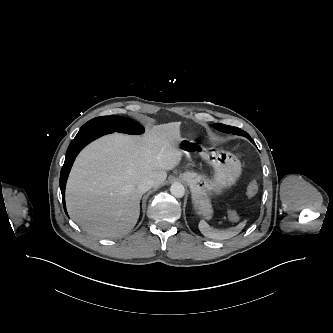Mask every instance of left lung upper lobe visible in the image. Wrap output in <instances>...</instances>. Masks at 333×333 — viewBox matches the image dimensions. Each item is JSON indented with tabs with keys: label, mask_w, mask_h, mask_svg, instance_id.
<instances>
[{
	"label": "left lung upper lobe",
	"mask_w": 333,
	"mask_h": 333,
	"mask_svg": "<svg viewBox=\"0 0 333 333\" xmlns=\"http://www.w3.org/2000/svg\"><path fill=\"white\" fill-rule=\"evenodd\" d=\"M214 127L217 130H219L221 132H225V133H233V134L242 135L245 137H246V135H248V133H246L245 131H243L237 127H232V126H228V125H224V124H214Z\"/></svg>",
	"instance_id": "left-lung-upper-lobe-1"
}]
</instances>
